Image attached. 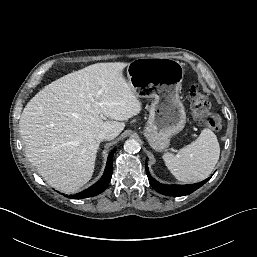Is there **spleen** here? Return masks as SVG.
I'll use <instances>...</instances> for the list:
<instances>
[{"label": "spleen", "instance_id": "1", "mask_svg": "<svg viewBox=\"0 0 257 257\" xmlns=\"http://www.w3.org/2000/svg\"><path fill=\"white\" fill-rule=\"evenodd\" d=\"M219 156L217 137L210 129L205 128L195 141L180 149L176 155L165 153L162 158L177 180L190 183L206 179L217 164Z\"/></svg>", "mask_w": 257, "mask_h": 257}]
</instances>
